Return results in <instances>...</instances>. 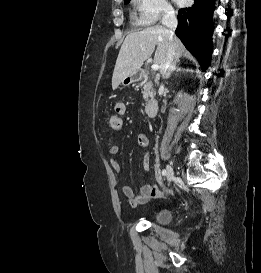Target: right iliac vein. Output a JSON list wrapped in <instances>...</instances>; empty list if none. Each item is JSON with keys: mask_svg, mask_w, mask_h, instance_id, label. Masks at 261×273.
<instances>
[{"mask_svg": "<svg viewBox=\"0 0 261 273\" xmlns=\"http://www.w3.org/2000/svg\"><path fill=\"white\" fill-rule=\"evenodd\" d=\"M166 176H167V181L168 182H170L173 179L174 171H173V168L170 165H167Z\"/></svg>", "mask_w": 261, "mask_h": 273, "instance_id": "right-iliac-vein-1", "label": "right iliac vein"}]
</instances>
